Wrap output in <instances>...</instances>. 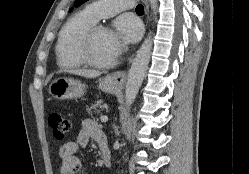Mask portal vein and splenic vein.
Listing matches in <instances>:
<instances>
[{
  "mask_svg": "<svg viewBox=\"0 0 249 174\" xmlns=\"http://www.w3.org/2000/svg\"><path fill=\"white\" fill-rule=\"evenodd\" d=\"M101 122L106 123L108 121V117L106 115L101 116Z\"/></svg>",
  "mask_w": 249,
  "mask_h": 174,
  "instance_id": "18ae733b",
  "label": "portal vein and splenic vein"
}]
</instances>
